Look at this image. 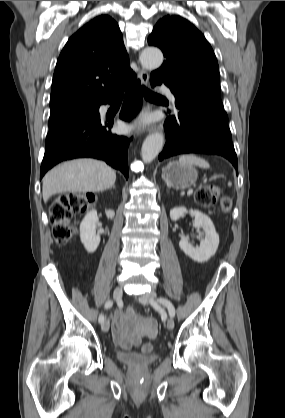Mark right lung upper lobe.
Here are the masks:
<instances>
[{"label":"right lung upper lobe","instance_id":"1","mask_svg":"<svg viewBox=\"0 0 285 418\" xmlns=\"http://www.w3.org/2000/svg\"><path fill=\"white\" fill-rule=\"evenodd\" d=\"M118 24L101 15L69 38L54 71L50 108L103 104L135 82Z\"/></svg>","mask_w":285,"mask_h":418}]
</instances>
